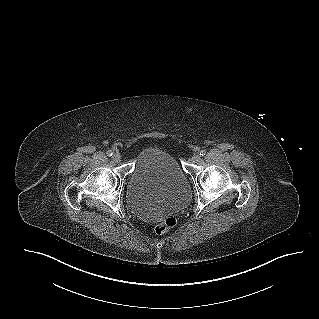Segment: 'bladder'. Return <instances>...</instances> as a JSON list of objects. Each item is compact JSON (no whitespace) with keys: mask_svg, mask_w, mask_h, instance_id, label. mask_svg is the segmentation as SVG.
I'll list each match as a JSON object with an SVG mask.
<instances>
[{"mask_svg":"<svg viewBox=\"0 0 319 319\" xmlns=\"http://www.w3.org/2000/svg\"><path fill=\"white\" fill-rule=\"evenodd\" d=\"M190 196L189 177L172 154L149 147L137 157L126 187L127 203L136 214L155 218L184 206Z\"/></svg>","mask_w":319,"mask_h":319,"instance_id":"bladder-1","label":"bladder"}]
</instances>
